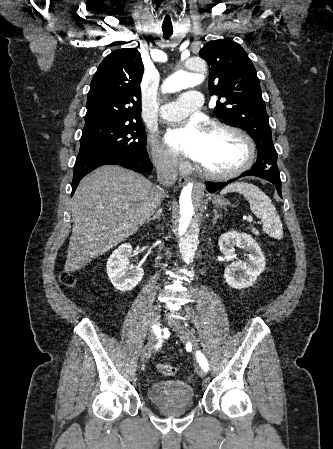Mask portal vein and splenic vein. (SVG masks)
Here are the masks:
<instances>
[{
    "mask_svg": "<svg viewBox=\"0 0 333 449\" xmlns=\"http://www.w3.org/2000/svg\"><path fill=\"white\" fill-rule=\"evenodd\" d=\"M247 221H248L249 223H252V221H253L252 217H251V216H248V217H247Z\"/></svg>",
    "mask_w": 333,
    "mask_h": 449,
    "instance_id": "obj_1",
    "label": "portal vein and splenic vein"
}]
</instances>
